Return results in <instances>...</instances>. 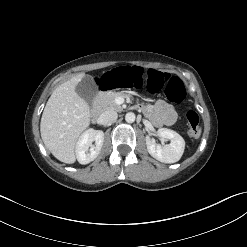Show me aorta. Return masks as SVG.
Listing matches in <instances>:
<instances>
[{"label":"aorta","mask_w":247,"mask_h":247,"mask_svg":"<svg viewBox=\"0 0 247 247\" xmlns=\"http://www.w3.org/2000/svg\"><path fill=\"white\" fill-rule=\"evenodd\" d=\"M135 114L133 112H128L126 115H125V120L127 123H133L135 121Z\"/></svg>","instance_id":"762f6f07"}]
</instances>
